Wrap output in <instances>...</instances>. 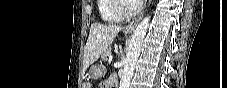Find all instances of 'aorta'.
Masks as SVG:
<instances>
[{
  "label": "aorta",
  "instance_id": "762f6f07",
  "mask_svg": "<svg viewBox=\"0 0 227 88\" xmlns=\"http://www.w3.org/2000/svg\"><path fill=\"white\" fill-rule=\"evenodd\" d=\"M150 17H145L136 27L125 58L124 71L120 80L119 88H129L133 72L140 55L143 40L145 38Z\"/></svg>",
  "mask_w": 227,
  "mask_h": 88
}]
</instances>
